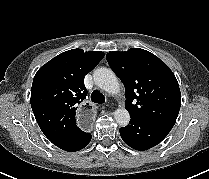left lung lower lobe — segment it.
Wrapping results in <instances>:
<instances>
[{"mask_svg":"<svg viewBox=\"0 0 209 179\" xmlns=\"http://www.w3.org/2000/svg\"><path fill=\"white\" fill-rule=\"evenodd\" d=\"M130 117V124L120 128V135L123 141L135 150L144 151L156 146L172 129L138 116Z\"/></svg>","mask_w":209,"mask_h":179,"instance_id":"0a47b994","label":"left lung lower lobe"}]
</instances>
